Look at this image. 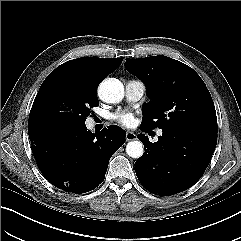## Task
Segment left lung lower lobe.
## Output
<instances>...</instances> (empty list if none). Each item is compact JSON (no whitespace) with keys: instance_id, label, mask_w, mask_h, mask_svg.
<instances>
[{"instance_id":"1","label":"left lung lower lobe","mask_w":241,"mask_h":241,"mask_svg":"<svg viewBox=\"0 0 241 241\" xmlns=\"http://www.w3.org/2000/svg\"><path fill=\"white\" fill-rule=\"evenodd\" d=\"M162 131L156 143L142 134L137 136L146 149L135 162V172L148 191L169 196L187 190L200 179L215 150L217 134L184 128Z\"/></svg>"}]
</instances>
